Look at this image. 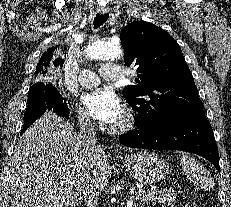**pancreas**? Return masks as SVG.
<instances>
[{
    "mask_svg": "<svg viewBox=\"0 0 231 207\" xmlns=\"http://www.w3.org/2000/svg\"><path fill=\"white\" fill-rule=\"evenodd\" d=\"M131 195L135 196L136 199L141 198V196H150L148 200H151L152 202H159L163 204H170L175 201L176 199V192L173 190H155V191H149L145 192L144 190H136L135 188L131 189Z\"/></svg>",
    "mask_w": 231,
    "mask_h": 207,
    "instance_id": "cf45deb5",
    "label": "pancreas"
}]
</instances>
